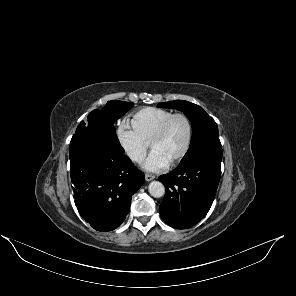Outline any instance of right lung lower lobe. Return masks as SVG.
Segmentation results:
<instances>
[{"label": "right lung lower lobe", "mask_w": 296, "mask_h": 296, "mask_svg": "<svg viewBox=\"0 0 296 296\" xmlns=\"http://www.w3.org/2000/svg\"><path fill=\"white\" fill-rule=\"evenodd\" d=\"M116 134L94 126L77 127L69 146L75 205L92 228L116 229L145 177L123 154Z\"/></svg>", "instance_id": "obj_1"}]
</instances>
